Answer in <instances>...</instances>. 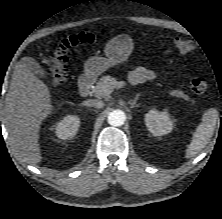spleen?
I'll use <instances>...</instances> for the list:
<instances>
[{
	"mask_svg": "<svg viewBox=\"0 0 222 219\" xmlns=\"http://www.w3.org/2000/svg\"><path fill=\"white\" fill-rule=\"evenodd\" d=\"M217 119L218 111L214 108L203 114L202 122L196 128L191 143L186 149V158L196 156L208 144L216 128Z\"/></svg>",
	"mask_w": 222,
	"mask_h": 219,
	"instance_id": "1",
	"label": "spleen"
}]
</instances>
